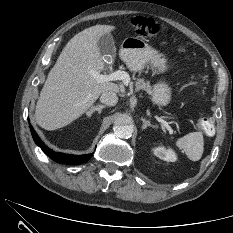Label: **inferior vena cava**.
I'll return each instance as SVG.
<instances>
[{"label": "inferior vena cava", "instance_id": "602c4592", "mask_svg": "<svg viewBox=\"0 0 233 233\" xmlns=\"http://www.w3.org/2000/svg\"><path fill=\"white\" fill-rule=\"evenodd\" d=\"M100 101L107 106H114L118 102V97L115 92L106 91L102 93Z\"/></svg>", "mask_w": 233, "mask_h": 233}]
</instances>
